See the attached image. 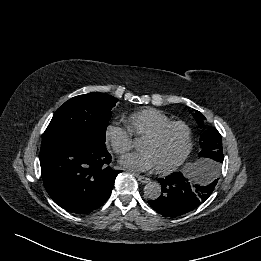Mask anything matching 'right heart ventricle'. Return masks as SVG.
<instances>
[{
	"label": "right heart ventricle",
	"instance_id": "e07e8e85",
	"mask_svg": "<svg viewBox=\"0 0 261 261\" xmlns=\"http://www.w3.org/2000/svg\"><path fill=\"white\" fill-rule=\"evenodd\" d=\"M170 121L171 118L167 114L155 108L142 109L127 117L131 133L140 138L154 132Z\"/></svg>",
	"mask_w": 261,
	"mask_h": 261
}]
</instances>
